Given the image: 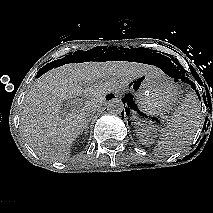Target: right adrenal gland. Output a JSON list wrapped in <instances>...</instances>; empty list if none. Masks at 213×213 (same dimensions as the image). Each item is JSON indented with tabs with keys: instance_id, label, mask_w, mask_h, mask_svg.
<instances>
[{
	"instance_id": "obj_1",
	"label": "right adrenal gland",
	"mask_w": 213,
	"mask_h": 213,
	"mask_svg": "<svg viewBox=\"0 0 213 213\" xmlns=\"http://www.w3.org/2000/svg\"><path fill=\"white\" fill-rule=\"evenodd\" d=\"M88 125H89V123L86 122L85 125H84V128H83V130H82V132L85 131V132H84L85 136H86L87 133H88Z\"/></svg>"
}]
</instances>
